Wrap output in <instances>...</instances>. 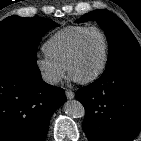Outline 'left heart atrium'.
I'll return each instance as SVG.
<instances>
[{"label":"left heart atrium","instance_id":"obj_1","mask_svg":"<svg viewBox=\"0 0 141 141\" xmlns=\"http://www.w3.org/2000/svg\"><path fill=\"white\" fill-rule=\"evenodd\" d=\"M70 78H71L72 80H75V79H76V78H75L74 76H72V75L70 76Z\"/></svg>","mask_w":141,"mask_h":141}]
</instances>
